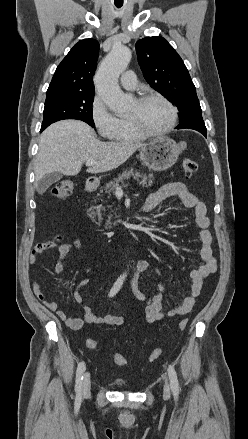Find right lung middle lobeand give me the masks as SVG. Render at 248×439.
<instances>
[{
  "label": "right lung middle lobe",
  "mask_w": 248,
  "mask_h": 439,
  "mask_svg": "<svg viewBox=\"0 0 248 439\" xmlns=\"http://www.w3.org/2000/svg\"><path fill=\"white\" fill-rule=\"evenodd\" d=\"M94 92L59 93L46 97L42 127L63 119H78L95 127L92 116Z\"/></svg>",
  "instance_id": "dd1d6c3e"
}]
</instances>
